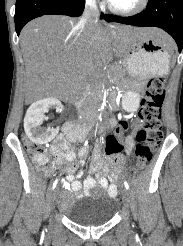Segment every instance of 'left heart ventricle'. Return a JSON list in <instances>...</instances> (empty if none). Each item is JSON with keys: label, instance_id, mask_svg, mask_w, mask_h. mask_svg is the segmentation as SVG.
I'll list each match as a JSON object with an SVG mask.
<instances>
[{"label": "left heart ventricle", "instance_id": "b2bd125f", "mask_svg": "<svg viewBox=\"0 0 183 246\" xmlns=\"http://www.w3.org/2000/svg\"><path fill=\"white\" fill-rule=\"evenodd\" d=\"M111 2L121 8H130L133 7L138 0H111Z\"/></svg>", "mask_w": 183, "mask_h": 246}]
</instances>
